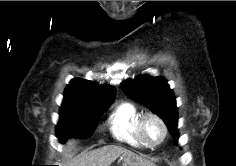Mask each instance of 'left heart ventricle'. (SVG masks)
Masks as SVG:
<instances>
[{
  "mask_svg": "<svg viewBox=\"0 0 236 166\" xmlns=\"http://www.w3.org/2000/svg\"><path fill=\"white\" fill-rule=\"evenodd\" d=\"M144 133L146 138L152 143L158 142L163 134L161 125L152 118L145 122Z\"/></svg>",
  "mask_w": 236,
  "mask_h": 166,
  "instance_id": "1",
  "label": "left heart ventricle"
}]
</instances>
